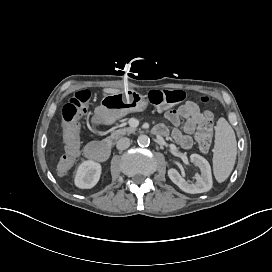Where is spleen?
I'll use <instances>...</instances> for the list:
<instances>
[{"instance_id": "1", "label": "spleen", "mask_w": 272, "mask_h": 272, "mask_svg": "<svg viewBox=\"0 0 272 272\" xmlns=\"http://www.w3.org/2000/svg\"><path fill=\"white\" fill-rule=\"evenodd\" d=\"M237 155V142L234 130L225 118L221 117L215 126L213 149V172L219 183L231 174Z\"/></svg>"}]
</instances>
